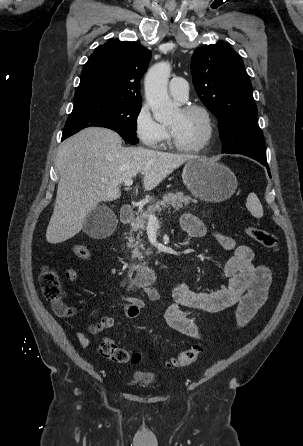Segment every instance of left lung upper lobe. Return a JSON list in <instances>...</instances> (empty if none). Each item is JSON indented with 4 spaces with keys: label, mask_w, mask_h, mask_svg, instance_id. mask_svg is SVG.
Here are the masks:
<instances>
[{
    "label": "left lung upper lobe",
    "mask_w": 303,
    "mask_h": 446,
    "mask_svg": "<svg viewBox=\"0 0 303 446\" xmlns=\"http://www.w3.org/2000/svg\"><path fill=\"white\" fill-rule=\"evenodd\" d=\"M195 90L218 120L222 153L266 159L257 108L244 63L226 43L205 45L192 56Z\"/></svg>",
    "instance_id": "1"
}]
</instances>
